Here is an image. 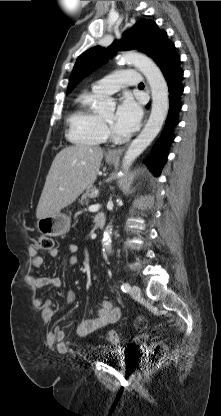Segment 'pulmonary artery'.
I'll return each mask as SVG.
<instances>
[{
	"mask_svg": "<svg viewBox=\"0 0 221 416\" xmlns=\"http://www.w3.org/2000/svg\"><path fill=\"white\" fill-rule=\"evenodd\" d=\"M142 81L136 69H121L103 78L93 85L92 91L100 96L110 95L127 85H138Z\"/></svg>",
	"mask_w": 221,
	"mask_h": 416,
	"instance_id": "1",
	"label": "pulmonary artery"
}]
</instances>
